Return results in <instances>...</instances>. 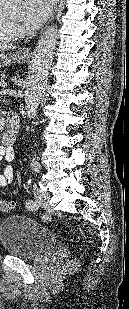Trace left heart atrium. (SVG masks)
I'll return each mask as SVG.
<instances>
[{
	"label": "left heart atrium",
	"instance_id": "obj_1",
	"mask_svg": "<svg viewBox=\"0 0 129 309\" xmlns=\"http://www.w3.org/2000/svg\"><path fill=\"white\" fill-rule=\"evenodd\" d=\"M53 0H24L23 26L28 30L39 28L50 14Z\"/></svg>",
	"mask_w": 129,
	"mask_h": 309
}]
</instances>
